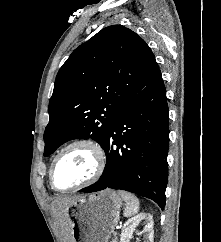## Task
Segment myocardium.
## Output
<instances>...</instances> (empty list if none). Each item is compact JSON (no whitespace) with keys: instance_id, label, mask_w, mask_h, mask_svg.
<instances>
[{"instance_id":"myocardium-1","label":"myocardium","mask_w":221,"mask_h":242,"mask_svg":"<svg viewBox=\"0 0 221 242\" xmlns=\"http://www.w3.org/2000/svg\"><path fill=\"white\" fill-rule=\"evenodd\" d=\"M75 146H84L87 147L93 154V157L95 159V167H94V171L92 173V175L84 180L83 182L68 187V188H58L55 183H54V178H53V172H54V168L56 166V163L58 162V160L60 159V157L70 148L75 147ZM105 164H106V156H105V152L103 150V148L100 146V144H98L96 141L90 139V138H77L74 139L72 141H70L69 143H67L65 146H63L58 153L55 155V157L53 158L51 165H50V169H49V182L52 188H54L55 190L58 191H62V192H68V191H74V190H78L81 188H84L86 186L91 185L92 183H94L95 181H97L100 176L102 175L104 168H105Z\"/></svg>"}]
</instances>
